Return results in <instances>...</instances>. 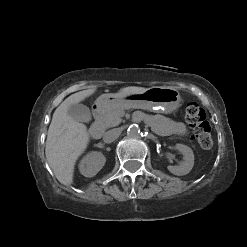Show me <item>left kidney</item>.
Wrapping results in <instances>:
<instances>
[{
	"instance_id": "obj_1",
	"label": "left kidney",
	"mask_w": 247,
	"mask_h": 247,
	"mask_svg": "<svg viewBox=\"0 0 247 247\" xmlns=\"http://www.w3.org/2000/svg\"><path fill=\"white\" fill-rule=\"evenodd\" d=\"M175 148L183 154V161L177 166L169 165L167 169L174 175L182 176L188 174L194 166V154L190 147L176 144Z\"/></svg>"
}]
</instances>
